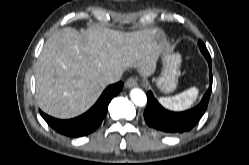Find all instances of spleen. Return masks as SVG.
Wrapping results in <instances>:
<instances>
[{
    "mask_svg": "<svg viewBox=\"0 0 249 165\" xmlns=\"http://www.w3.org/2000/svg\"><path fill=\"white\" fill-rule=\"evenodd\" d=\"M197 96L198 89L192 87L173 97H162L159 99V102L168 109L181 111L189 108L197 99Z\"/></svg>",
    "mask_w": 249,
    "mask_h": 165,
    "instance_id": "1",
    "label": "spleen"
}]
</instances>
